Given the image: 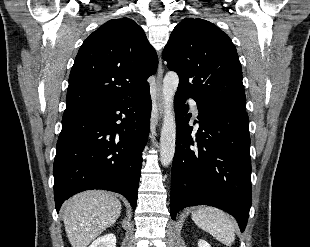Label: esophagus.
<instances>
[{"mask_svg": "<svg viewBox=\"0 0 310 247\" xmlns=\"http://www.w3.org/2000/svg\"><path fill=\"white\" fill-rule=\"evenodd\" d=\"M162 78H163V67L161 60L159 61L158 70H157V76H156V103L159 113V119L162 118L163 115V95H162Z\"/></svg>", "mask_w": 310, "mask_h": 247, "instance_id": "1", "label": "esophagus"}]
</instances>
